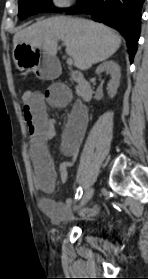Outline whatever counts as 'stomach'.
Returning a JSON list of instances; mask_svg holds the SVG:
<instances>
[{"label":"stomach","mask_w":148,"mask_h":279,"mask_svg":"<svg viewBox=\"0 0 148 279\" xmlns=\"http://www.w3.org/2000/svg\"><path fill=\"white\" fill-rule=\"evenodd\" d=\"M13 59L24 75L33 78H43V82H52V78L59 74V62L55 57L46 54L42 49L26 44L15 47Z\"/></svg>","instance_id":"obj_1"}]
</instances>
